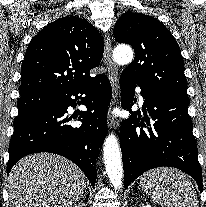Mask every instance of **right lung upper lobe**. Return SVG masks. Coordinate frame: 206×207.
Segmentation results:
<instances>
[{
	"label": "right lung upper lobe",
	"instance_id": "1",
	"mask_svg": "<svg viewBox=\"0 0 206 207\" xmlns=\"http://www.w3.org/2000/svg\"><path fill=\"white\" fill-rule=\"evenodd\" d=\"M103 51L101 35L85 19L70 16L48 24L26 50L20 97L55 94L90 81Z\"/></svg>",
	"mask_w": 206,
	"mask_h": 207
}]
</instances>
